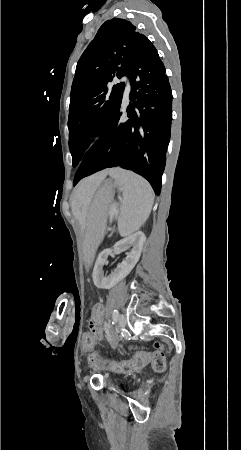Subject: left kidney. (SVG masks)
I'll list each match as a JSON object with an SVG mask.
<instances>
[{
    "label": "left kidney",
    "mask_w": 241,
    "mask_h": 450,
    "mask_svg": "<svg viewBox=\"0 0 241 450\" xmlns=\"http://www.w3.org/2000/svg\"><path fill=\"white\" fill-rule=\"evenodd\" d=\"M145 242L146 236L143 232H135L132 236H128V238H124V240H120V242H116L114 246V252H116V254H120V252H124V250H130V248H132V250L127 252L125 260H123L121 264H118L114 272H112L110 276H107V278L104 276L102 268L107 264V258L109 254H111V250H103L96 260L92 274L96 288L110 290V288L116 286L118 282H121L123 278H126L131 270H133L134 266H136Z\"/></svg>",
    "instance_id": "obj_1"
}]
</instances>
